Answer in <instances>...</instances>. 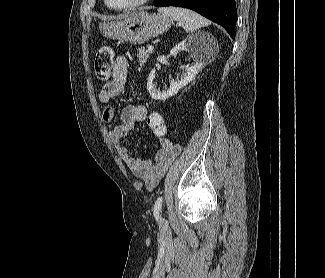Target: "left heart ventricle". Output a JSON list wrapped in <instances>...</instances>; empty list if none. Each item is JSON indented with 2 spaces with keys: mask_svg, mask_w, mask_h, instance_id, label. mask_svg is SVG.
<instances>
[{
  "mask_svg": "<svg viewBox=\"0 0 325 278\" xmlns=\"http://www.w3.org/2000/svg\"><path fill=\"white\" fill-rule=\"evenodd\" d=\"M136 0H109L113 6H123L135 2Z\"/></svg>",
  "mask_w": 325,
  "mask_h": 278,
  "instance_id": "1",
  "label": "left heart ventricle"
}]
</instances>
